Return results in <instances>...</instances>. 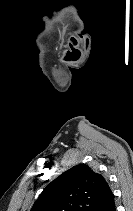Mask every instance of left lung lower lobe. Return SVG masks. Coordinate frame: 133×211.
Returning <instances> with one entry per match:
<instances>
[{"label":"left lung lower lobe","mask_w":133,"mask_h":211,"mask_svg":"<svg viewBox=\"0 0 133 211\" xmlns=\"http://www.w3.org/2000/svg\"><path fill=\"white\" fill-rule=\"evenodd\" d=\"M93 211H116L113 193L111 192Z\"/></svg>","instance_id":"1"}]
</instances>
